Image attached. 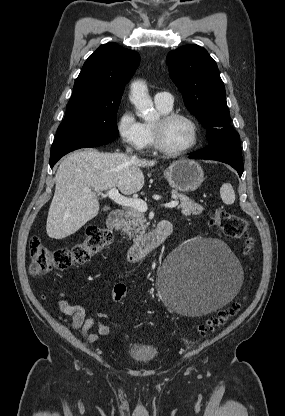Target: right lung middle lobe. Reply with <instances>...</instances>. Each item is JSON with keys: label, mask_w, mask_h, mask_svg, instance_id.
Returning a JSON list of instances; mask_svg holds the SVG:
<instances>
[{"label": "right lung middle lobe", "mask_w": 285, "mask_h": 416, "mask_svg": "<svg viewBox=\"0 0 285 416\" xmlns=\"http://www.w3.org/2000/svg\"><path fill=\"white\" fill-rule=\"evenodd\" d=\"M119 105L120 100L82 101L71 98L56 138L118 137L116 114Z\"/></svg>", "instance_id": "dd1d6c3e"}]
</instances>
